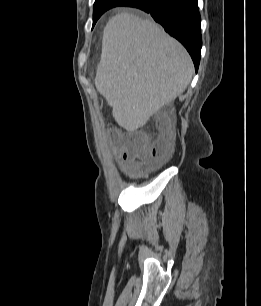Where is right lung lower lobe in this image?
<instances>
[{"instance_id":"1","label":"right lung lower lobe","mask_w":261,"mask_h":306,"mask_svg":"<svg viewBox=\"0 0 261 306\" xmlns=\"http://www.w3.org/2000/svg\"><path fill=\"white\" fill-rule=\"evenodd\" d=\"M122 6L150 13L167 33L184 45L192 57L195 69H198L202 37L197 0H129Z\"/></svg>"}]
</instances>
